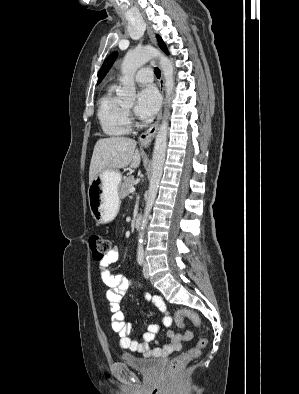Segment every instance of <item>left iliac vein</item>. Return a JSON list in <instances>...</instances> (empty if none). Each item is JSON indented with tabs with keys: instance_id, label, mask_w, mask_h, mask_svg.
<instances>
[{
	"instance_id": "obj_1",
	"label": "left iliac vein",
	"mask_w": 299,
	"mask_h": 394,
	"mask_svg": "<svg viewBox=\"0 0 299 394\" xmlns=\"http://www.w3.org/2000/svg\"><path fill=\"white\" fill-rule=\"evenodd\" d=\"M143 275L146 279L149 278V268H148V264L145 262L144 266H143Z\"/></svg>"
}]
</instances>
